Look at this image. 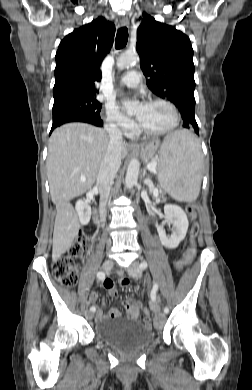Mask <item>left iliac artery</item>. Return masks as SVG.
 <instances>
[{
  "instance_id": "obj_1",
  "label": "left iliac artery",
  "mask_w": 252,
  "mask_h": 390,
  "mask_svg": "<svg viewBox=\"0 0 252 390\" xmlns=\"http://www.w3.org/2000/svg\"><path fill=\"white\" fill-rule=\"evenodd\" d=\"M139 268L141 270H144L147 268V262L146 261H142L139 265ZM158 290V284L157 283H154L153 285V288H152V291H151V294H150V298L151 300H157V296H156V292ZM169 312V309L168 307H164V313L167 314Z\"/></svg>"
}]
</instances>
